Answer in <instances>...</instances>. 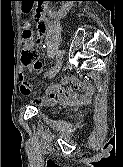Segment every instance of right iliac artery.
I'll use <instances>...</instances> for the list:
<instances>
[{
    "mask_svg": "<svg viewBox=\"0 0 123 167\" xmlns=\"http://www.w3.org/2000/svg\"><path fill=\"white\" fill-rule=\"evenodd\" d=\"M62 55H63V52H62V51H59V52L57 53V61H59V59H61Z\"/></svg>",
    "mask_w": 123,
    "mask_h": 167,
    "instance_id": "82829eb1",
    "label": "right iliac artery"
}]
</instances>
